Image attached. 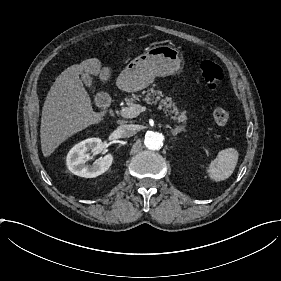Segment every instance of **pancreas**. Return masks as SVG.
I'll use <instances>...</instances> for the list:
<instances>
[{
	"instance_id": "obj_1",
	"label": "pancreas",
	"mask_w": 281,
	"mask_h": 281,
	"mask_svg": "<svg viewBox=\"0 0 281 281\" xmlns=\"http://www.w3.org/2000/svg\"><path fill=\"white\" fill-rule=\"evenodd\" d=\"M142 94H146L143 101H145L147 104H157L159 102V107H164L163 110L165 113H168L169 115L174 114L175 116L171 117L173 120H178V122H185L187 120L185 112H182L179 115V111L175 106V103L172 102L171 97L162 98L164 96L162 91L149 88L146 91H143ZM140 97L141 95L135 94H133L132 97H126V105L132 106L135 101H140Z\"/></svg>"
}]
</instances>
